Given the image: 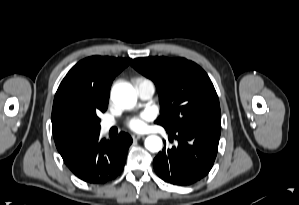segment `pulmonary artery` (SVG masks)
Masks as SVG:
<instances>
[{
  "label": "pulmonary artery",
  "mask_w": 299,
  "mask_h": 205,
  "mask_svg": "<svg viewBox=\"0 0 299 205\" xmlns=\"http://www.w3.org/2000/svg\"><path fill=\"white\" fill-rule=\"evenodd\" d=\"M135 88H136V92H137L138 96L142 100H148V99L152 98V96L155 93V85L149 79H145V78L137 79L135 81ZM113 126H114V122H112V121H104L102 123V129L105 132L108 131Z\"/></svg>",
  "instance_id": "1"
}]
</instances>
